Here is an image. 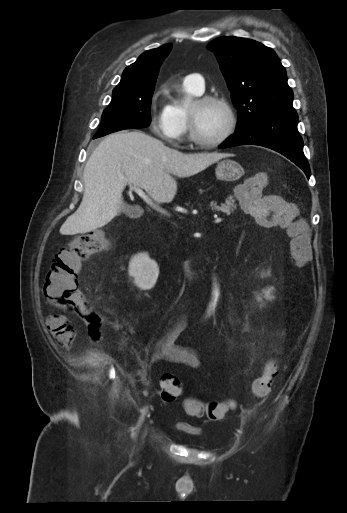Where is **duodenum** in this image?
I'll list each match as a JSON object with an SVG mask.
<instances>
[{"instance_id":"duodenum-1","label":"duodenum","mask_w":347,"mask_h":513,"mask_svg":"<svg viewBox=\"0 0 347 513\" xmlns=\"http://www.w3.org/2000/svg\"><path fill=\"white\" fill-rule=\"evenodd\" d=\"M192 262L191 261H185L183 262L182 264V272H183V275L188 278L190 276H193L194 275V272H193V267H192Z\"/></svg>"}]
</instances>
